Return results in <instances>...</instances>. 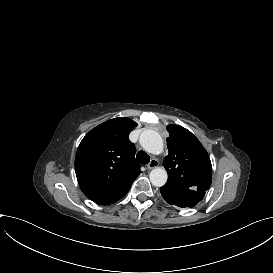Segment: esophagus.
<instances>
[{
	"label": "esophagus",
	"instance_id": "obj_1",
	"mask_svg": "<svg viewBox=\"0 0 273 273\" xmlns=\"http://www.w3.org/2000/svg\"><path fill=\"white\" fill-rule=\"evenodd\" d=\"M158 165H159L158 160L157 159H152L150 161V163L147 165V167H148V169H154V168L158 167Z\"/></svg>",
	"mask_w": 273,
	"mask_h": 273
}]
</instances>
